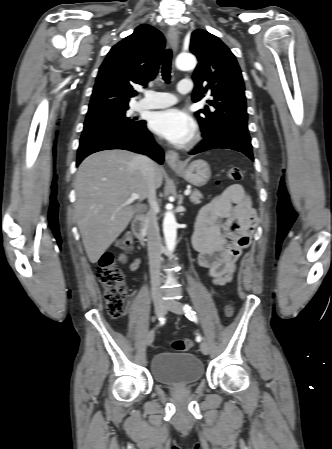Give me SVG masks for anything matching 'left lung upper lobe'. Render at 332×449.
Returning <instances> with one entry per match:
<instances>
[{
	"label": "left lung upper lobe",
	"mask_w": 332,
	"mask_h": 449,
	"mask_svg": "<svg viewBox=\"0 0 332 449\" xmlns=\"http://www.w3.org/2000/svg\"><path fill=\"white\" fill-rule=\"evenodd\" d=\"M190 51L197 56L192 100L210 95L214 109L205 107L195 115L202 136L231 125L247 126L246 97L240 67L230 49L216 36L198 29L191 35ZM204 83V85H203Z\"/></svg>",
	"instance_id": "5c2ea615"
}]
</instances>
